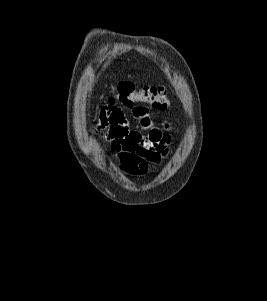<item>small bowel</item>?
<instances>
[{
  "label": "small bowel",
  "mask_w": 267,
  "mask_h": 301,
  "mask_svg": "<svg viewBox=\"0 0 267 301\" xmlns=\"http://www.w3.org/2000/svg\"><path fill=\"white\" fill-rule=\"evenodd\" d=\"M133 115L139 129L130 127L121 108L106 104L99 111L95 131H105L104 138L115 153L119 169L128 175L140 176L166 158L171 136L167 125L160 128L153 124L147 108L135 107Z\"/></svg>",
  "instance_id": "1"
}]
</instances>
